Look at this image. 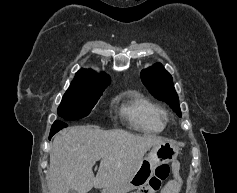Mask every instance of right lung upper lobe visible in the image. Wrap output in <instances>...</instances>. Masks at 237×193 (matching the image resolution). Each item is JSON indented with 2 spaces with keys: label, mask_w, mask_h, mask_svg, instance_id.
<instances>
[{
  "label": "right lung upper lobe",
  "mask_w": 237,
  "mask_h": 193,
  "mask_svg": "<svg viewBox=\"0 0 237 193\" xmlns=\"http://www.w3.org/2000/svg\"><path fill=\"white\" fill-rule=\"evenodd\" d=\"M109 83L110 78L105 73L98 75L92 70L81 69L76 73L70 86L82 89H103Z\"/></svg>",
  "instance_id": "1"
}]
</instances>
